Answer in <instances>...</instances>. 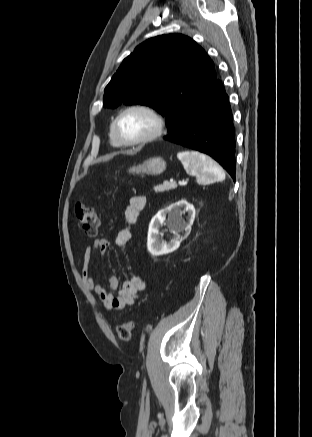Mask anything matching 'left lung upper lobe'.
Returning <instances> with one entry per match:
<instances>
[{"instance_id": "5c2ea615", "label": "left lung upper lobe", "mask_w": 312, "mask_h": 437, "mask_svg": "<svg viewBox=\"0 0 312 437\" xmlns=\"http://www.w3.org/2000/svg\"><path fill=\"white\" fill-rule=\"evenodd\" d=\"M216 81L212 60L195 41L181 34L157 36L123 60L105 88L103 106H150L166 118L171 134Z\"/></svg>"}]
</instances>
